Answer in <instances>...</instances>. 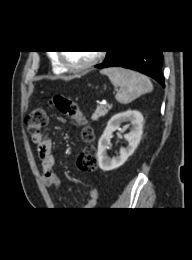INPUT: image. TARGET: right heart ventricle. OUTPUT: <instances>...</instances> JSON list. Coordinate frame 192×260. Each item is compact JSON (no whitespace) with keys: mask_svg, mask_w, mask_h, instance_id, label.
Instances as JSON below:
<instances>
[{"mask_svg":"<svg viewBox=\"0 0 192 260\" xmlns=\"http://www.w3.org/2000/svg\"><path fill=\"white\" fill-rule=\"evenodd\" d=\"M50 60H51L52 70L55 73H63L65 71V69L61 66L59 59H58L56 54L52 55L50 57Z\"/></svg>","mask_w":192,"mask_h":260,"instance_id":"1","label":"right heart ventricle"}]
</instances>
